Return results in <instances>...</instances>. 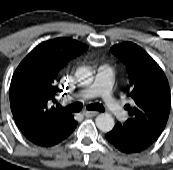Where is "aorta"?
Masks as SVG:
<instances>
[{
	"label": "aorta",
	"mask_w": 173,
	"mask_h": 170,
	"mask_svg": "<svg viewBox=\"0 0 173 170\" xmlns=\"http://www.w3.org/2000/svg\"><path fill=\"white\" fill-rule=\"evenodd\" d=\"M77 77L79 80L85 83L91 82V72L87 68H81L77 71ZM96 125L99 130L103 132H109L114 128L115 121L114 118L108 113H102L96 117Z\"/></svg>",
	"instance_id": "1"
}]
</instances>
